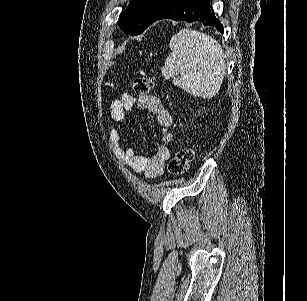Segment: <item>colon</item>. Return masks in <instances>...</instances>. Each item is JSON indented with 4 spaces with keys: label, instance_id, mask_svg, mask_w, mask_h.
<instances>
[{
    "label": "colon",
    "instance_id": "obj_1",
    "mask_svg": "<svg viewBox=\"0 0 307 301\" xmlns=\"http://www.w3.org/2000/svg\"><path fill=\"white\" fill-rule=\"evenodd\" d=\"M154 80L151 77L141 76L133 81L134 93L143 96L150 93L154 88ZM194 159V150L191 146L180 147L168 164V171L172 175L180 176L185 174Z\"/></svg>",
    "mask_w": 307,
    "mask_h": 301
}]
</instances>
